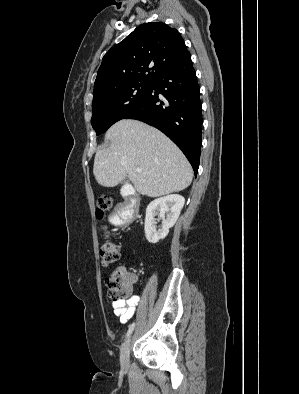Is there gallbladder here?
<instances>
[{"mask_svg":"<svg viewBox=\"0 0 299 394\" xmlns=\"http://www.w3.org/2000/svg\"><path fill=\"white\" fill-rule=\"evenodd\" d=\"M129 182V179L126 177L123 181H122V184L124 185V184H127Z\"/></svg>","mask_w":299,"mask_h":394,"instance_id":"gallbladder-1","label":"gallbladder"}]
</instances>
